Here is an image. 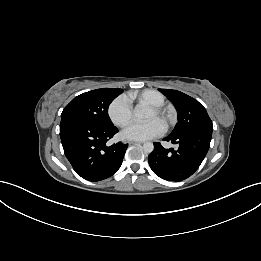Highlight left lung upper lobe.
Listing matches in <instances>:
<instances>
[{
	"instance_id": "1",
	"label": "left lung upper lobe",
	"mask_w": 261,
	"mask_h": 261,
	"mask_svg": "<svg viewBox=\"0 0 261 261\" xmlns=\"http://www.w3.org/2000/svg\"><path fill=\"white\" fill-rule=\"evenodd\" d=\"M175 105L178 123L171 134L196 130L213 129L206 109L194 98L177 90L159 89Z\"/></svg>"
}]
</instances>
